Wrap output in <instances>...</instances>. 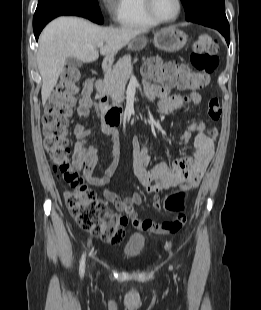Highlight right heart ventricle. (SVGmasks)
Instances as JSON below:
<instances>
[{
    "mask_svg": "<svg viewBox=\"0 0 261 310\" xmlns=\"http://www.w3.org/2000/svg\"><path fill=\"white\" fill-rule=\"evenodd\" d=\"M114 20L118 25L131 29H150L158 25L148 16L144 0H115Z\"/></svg>",
    "mask_w": 261,
    "mask_h": 310,
    "instance_id": "1",
    "label": "right heart ventricle"
}]
</instances>
